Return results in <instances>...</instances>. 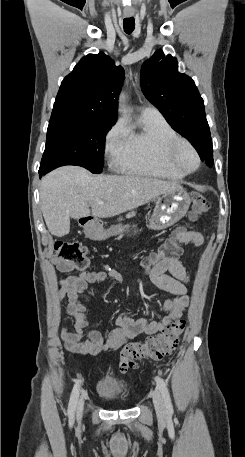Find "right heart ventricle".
<instances>
[{"mask_svg":"<svg viewBox=\"0 0 245 457\" xmlns=\"http://www.w3.org/2000/svg\"><path fill=\"white\" fill-rule=\"evenodd\" d=\"M179 134L160 114L142 116L132 127L125 129L124 144L112 153L117 163L144 174L178 180L184 175L155 164L151 151L155 144L164 147Z\"/></svg>","mask_w":245,"mask_h":457,"instance_id":"1","label":"right heart ventricle"}]
</instances>
